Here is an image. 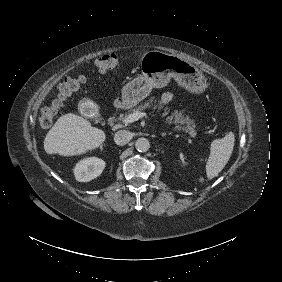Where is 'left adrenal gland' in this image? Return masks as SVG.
<instances>
[{
	"label": "left adrenal gland",
	"mask_w": 282,
	"mask_h": 282,
	"mask_svg": "<svg viewBox=\"0 0 282 282\" xmlns=\"http://www.w3.org/2000/svg\"><path fill=\"white\" fill-rule=\"evenodd\" d=\"M165 135H166L165 133L162 134V136H165Z\"/></svg>",
	"instance_id": "left-adrenal-gland-1"
}]
</instances>
